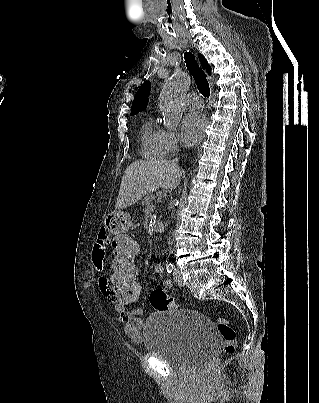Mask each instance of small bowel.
<instances>
[{
  "label": "small bowel",
  "mask_w": 319,
  "mask_h": 403,
  "mask_svg": "<svg viewBox=\"0 0 319 403\" xmlns=\"http://www.w3.org/2000/svg\"><path fill=\"white\" fill-rule=\"evenodd\" d=\"M109 236L105 229H101L98 232L97 241L94 245L92 251V261L98 271L102 273V276L99 280L100 290L107 300V302L113 305L114 310L118 314L119 318L122 320L124 325V331L126 335L133 341V342H140L143 338L141 326L142 322L140 319V315L142 313H127L126 307L127 304H116V300H113V273L108 272V254H107V247H108ZM163 264L157 263L155 265V271L157 273L163 272ZM134 273L137 281V274L138 268H134ZM163 286L165 288L172 287L171 280H164ZM138 295L140 296L141 290L137 291Z\"/></svg>",
  "instance_id": "obj_1"
}]
</instances>
